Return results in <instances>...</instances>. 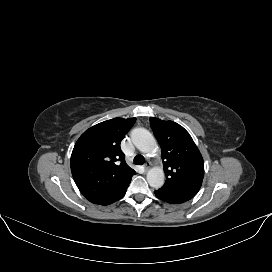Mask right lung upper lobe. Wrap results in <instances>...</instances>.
I'll return each instance as SVG.
<instances>
[{
    "mask_svg": "<svg viewBox=\"0 0 272 272\" xmlns=\"http://www.w3.org/2000/svg\"><path fill=\"white\" fill-rule=\"evenodd\" d=\"M136 118H114L86 130L71 155V172L82 195L91 203L104 204L130 183L136 173L124 159L120 143Z\"/></svg>",
    "mask_w": 272,
    "mask_h": 272,
    "instance_id": "right-lung-upper-lobe-1",
    "label": "right lung upper lobe"
}]
</instances>
